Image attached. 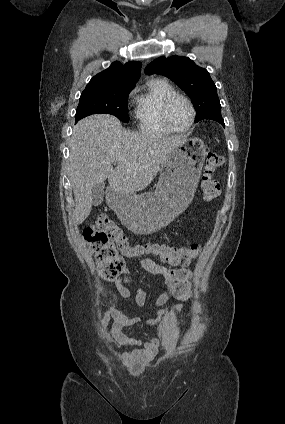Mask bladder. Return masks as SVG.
Returning a JSON list of instances; mask_svg holds the SVG:
<instances>
[{
    "instance_id": "1",
    "label": "bladder",
    "mask_w": 285,
    "mask_h": 424,
    "mask_svg": "<svg viewBox=\"0 0 285 424\" xmlns=\"http://www.w3.org/2000/svg\"><path fill=\"white\" fill-rule=\"evenodd\" d=\"M143 359H138L135 361V363L133 364V367H139L142 363H143Z\"/></svg>"
}]
</instances>
